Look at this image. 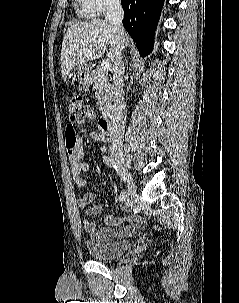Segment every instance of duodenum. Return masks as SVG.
<instances>
[{"label": "duodenum", "instance_id": "410a0bca", "mask_svg": "<svg viewBox=\"0 0 239 303\" xmlns=\"http://www.w3.org/2000/svg\"><path fill=\"white\" fill-rule=\"evenodd\" d=\"M102 133L112 135L114 131V120L111 113L104 114L98 121Z\"/></svg>", "mask_w": 239, "mask_h": 303}]
</instances>
